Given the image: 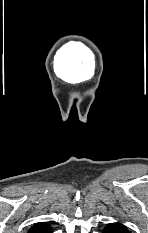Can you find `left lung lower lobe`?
<instances>
[{
    "label": "left lung lower lobe",
    "instance_id": "0a47b994",
    "mask_svg": "<svg viewBox=\"0 0 148 233\" xmlns=\"http://www.w3.org/2000/svg\"><path fill=\"white\" fill-rule=\"evenodd\" d=\"M103 233H121V232L112 228H105Z\"/></svg>",
    "mask_w": 148,
    "mask_h": 233
}]
</instances>
